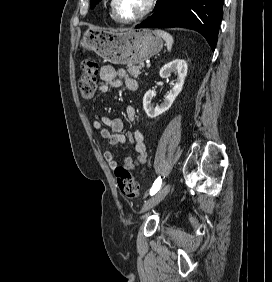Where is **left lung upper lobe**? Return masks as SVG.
<instances>
[{"label": "left lung upper lobe", "instance_id": "5c2ea615", "mask_svg": "<svg viewBox=\"0 0 272 282\" xmlns=\"http://www.w3.org/2000/svg\"><path fill=\"white\" fill-rule=\"evenodd\" d=\"M99 1H101V0H91V3H90L91 8H94L95 5H96Z\"/></svg>", "mask_w": 272, "mask_h": 282}]
</instances>
